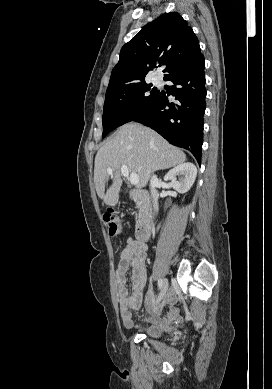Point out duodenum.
Masks as SVG:
<instances>
[{
  "instance_id": "obj_1",
  "label": "duodenum",
  "mask_w": 272,
  "mask_h": 389,
  "mask_svg": "<svg viewBox=\"0 0 272 389\" xmlns=\"http://www.w3.org/2000/svg\"><path fill=\"white\" fill-rule=\"evenodd\" d=\"M130 197L137 201L143 209V214L136 227V240L145 242L149 239L155 223V213L152 208L150 194L142 189L132 190Z\"/></svg>"
}]
</instances>
